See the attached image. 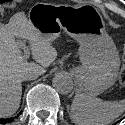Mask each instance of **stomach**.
I'll return each instance as SVG.
<instances>
[{
  "mask_svg": "<svg viewBox=\"0 0 125 125\" xmlns=\"http://www.w3.org/2000/svg\"><path fill=\"white\" fill-rule=\"evenodd\" d=\"M28 19L47 41H54L64 31L79 43L82 65L72 69L79 93L95 97L114 85L120 58L96 12L89 13L82 5L38 3Z\"/></svg>",
  "mask_w": 125,
  "mask_h": 125,
  "instance_id": "0dacf381",
  "label": "stomach"
}]
</instances>
